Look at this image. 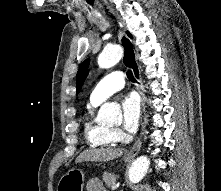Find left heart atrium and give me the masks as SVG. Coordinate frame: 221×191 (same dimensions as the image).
I'll return each mask as SVG.
<instances>
[{
  "instance_id": "left-heart-atrium-1",
  "label": "left heart atrium",
  "mask_w": 221,
  "mask_h": 191,
  "mask_svg": "<svg viewBox=\"0 0 221 191\" xmlns=\"http://www.w3.org/2000/svg\"><path fill=\"white\" fill-rule=\"evenodd\" d=\"M123 114V127L129 132H134L139 124L140 118V103L139 99L134 94L125 96L121 101Z\"/></svg>"
}]
</instances>
